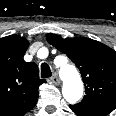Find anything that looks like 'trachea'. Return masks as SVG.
I'll return each mask as SVG.
<instances>
[{"mask_svg":"<svg viewBox=\"0 0 116 116\" xmlns=\"http://www.w3.org/2000/svg\"><path fill=\"white\" fill-rule=\"evenodd\" d=\"M52 76L51 69L47 63L41 64V77L42 78H49Z\"/></svg>","mask_w":116,"mask_h":116,"instance_id":"obj_1","label":"trachea"}]
</instances>
